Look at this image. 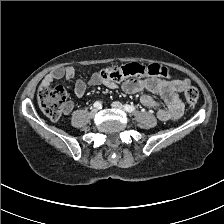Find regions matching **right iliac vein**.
I'll list each match as a JSON object with an SVG mask.
<instances>
[{"label": "right iliac vein", "instance_id": "1", "mask_svg": "<svg viewBox=\"0 0 224 224\" xmlns=\"http://www.w3.org/2000/svg\"><path fill=\"white\" fill-rule=\"evenodd\" d=\"M98 113V110L97 109H93L91 112H90V117L94 118Z\"/></svg>", "mask_w": 224, "mask_h": 224}]
</instances>
